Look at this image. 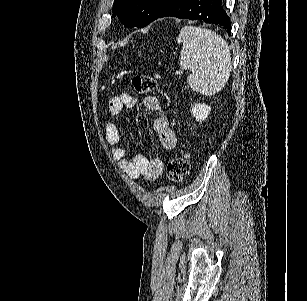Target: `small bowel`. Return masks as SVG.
Returning a JSON list of instances; mask_svg holds the SVG:
<instances>
[{"mask_svg": "<svg viewBox=\"0 0 307 301\" xmlns=\"http://www.w3.org/2000/svg\"><path fill=\"white\" fill-rule=\"evenodd\" d=\"M136 103L137 99L132 94L123 92L110 98L107 106L110 114L116 117L121 114L123 109L133 108ZM141 104L155 115L153 128L157 133L161 147L164 150H172L176 145V136L170 127V118L161 100L154 96H146L141 99ZM104 132L113 159L118 162L128 177L138 179L142 176L146 180L152 181L163 175L165 162L161 158L150 160L142 154L127 158L126 151L120 146V131L114 123H106Z\"/></svg>", "mask_w": 307, "mask_h": 301, "instance_id": "obj_1", "label": "small bowel"}]
</instances>
